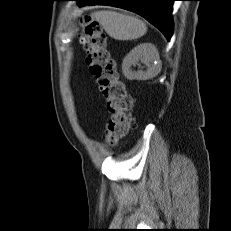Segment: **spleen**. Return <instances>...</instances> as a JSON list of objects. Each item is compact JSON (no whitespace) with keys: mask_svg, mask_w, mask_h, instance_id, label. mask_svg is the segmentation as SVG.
Here are the masks:
<instances>
[{"mask_svg":"<svg viewBox=\"0 0 231 231\" xmlns=\"http://www.w3.org/2000/svg\"><path fill=\"white\" fill-rule=\"evenodd\" d=\"M92 17L116 40L138 39L147 31V26L142 20L116 11H96L92 13Z\"/></svg>","mask_w":231,"mask_h":231,"instance_id":"spleen-1","label":"spleen"}]
</instances>
